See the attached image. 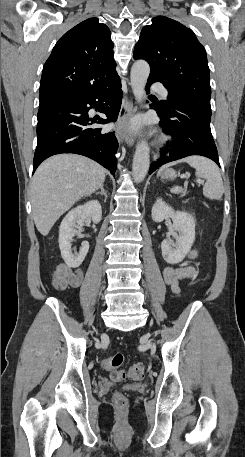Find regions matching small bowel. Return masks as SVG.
Segmentation results:
<instances>
[{
  "label": "small bowel",
  "mask_w": 245,
  "mask_h": 457,
  "mask_svg": "<svg viewBox=\"0 0 245 457\" xmlns=\"http://www.w3.org/2000/svg\"><path fill=\"white\" fill-rule=\"evenodd\" d=\"M197 256V251L192 250L188 258L194 259ZM196 273L194 266L185 264L183 266H168L163 270V278L165 283L170 287L172 292L180 291L179 283L182 280L192 278ZM52 284L58 290H64L69 287L77 288L83 281V271L79 268H71L66 264L59 263L52 270Z\"/></svg>",
  "instance_id": "small-bowel-1"
}]
</instances>
